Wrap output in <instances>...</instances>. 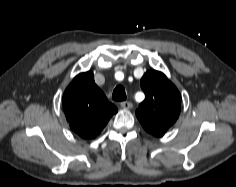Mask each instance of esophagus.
Listing matches in <instances>:
<instances>
[{
  "mask_svg": "<svg viewBox=\"0 0 236 187\" xmlns=\"http://www.w3.org/2000/svg\"><path fill=\"white\" fill-rule=\"evenodd\" d=\"M120 105L123 109H131L133 106L132 103L128 102V101H123V102H121Z\"/></svg>",
  "mask_w": 236,
  "mask_h": 187,
  "instance_id": "obj_1",
  "label": "esophagus"
}]
</instances>
